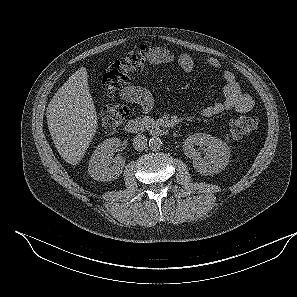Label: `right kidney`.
Returning a JSON list of instances; mask_svg holds the SVG:
<instances>
[{"label":"right kidney","instance_id":"obj_1","mask_svg":"<svg viewBox=\"0 0 297 297\" xmlns=\"http://www.w3.org/2000/svg\"><path fill=\"white\" fill-rule=\"evenodd\" d=\"M120 143L118 138H109L96 147L88 167V172L93 179L112 181L121 175L125 160L120 155L111 158V153L120 146ZM112 163L114 164L111 165Z\"/></svg>","mask_w":297,"mask_h":297}]
</instances>
